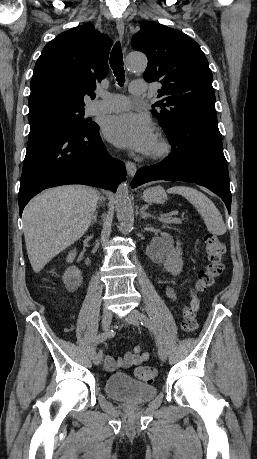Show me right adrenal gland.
<instances>
[{
  "label": "right adrenal gland",
  "mask_w": 257,
  "mask_h": 459,
  "mask_svg": "<svg viewBox=\"0 0 257 459\" xmlns=\"http://www.w3.org/2000/svg\"><path fill=\"white\" fill-rule=\"evenodd\" d=\"M97 222V212L95 211L91 220L90 225L93 226L94 223Z\"/></svg>",
  "instance_id": "1"
}]
</instances>
